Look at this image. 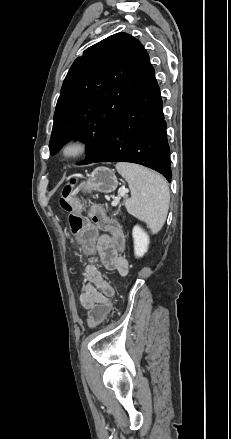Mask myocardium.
<instances>
[{"instance_id": "obj_1", "label": "myocardium", "mask_w": 231, "mask_h": 439, "mask_svg": "<svg viewBox=\"0 0 231 439\" xmlns=\"http://www.w3.org/2000/svg\"><path fill=\"white\" fill-rule=\"evenodd\" d=\"M88 150V144L81 138H73L64 142L60 149L59 154L65 161H73L82 157Z\"/></svg>"}]
</instances>
